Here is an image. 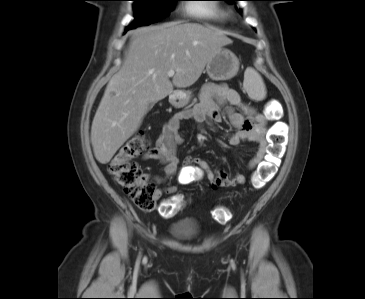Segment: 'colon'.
<instances>
[{
  "label": "colon",
  "instance_id": "colon-1",
  "mask_svg": "<svg viewBox=\"0 0 365 299\" xmlns=\"http://www.w3.org/2000/svg\"><path fill=\"white\" fill-rule=\"evenodd\" d=\"M280 115L277 103H270L267 116L277 119ZM286 144V125L277 121L271 128L268 136L267 154L263 163L255 171L252 177V186L262 188L275 175ZM148 147L144 131H138L130 137L114 154L108 164V172L116 184H118L143 211H152L156 207V185L142 174L138 164L134 161ZM182 207L179 199H171L164 202L160 211L164 216H172ZM212 216L219 223L227 222L231 212L224 207H216Z\"/></svg>",
  "mask_w": 365,
  "mask_h": 299
}]
</instances>
